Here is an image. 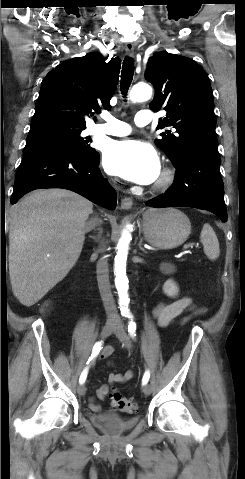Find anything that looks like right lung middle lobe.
<instances>
[{
  "label": "right lung middle lobe",
  "mask_w": 245,
  "mask_h": 479,
  "mask_svg": "<svg viewBox=\"0 0 245 479\" xmlns=\"http://www.w3.org/2000/svg\"><path fill=\"white\" fill-rule=\"evenodd\" d=\"M83 130L63 125L31 128L27 136L23 156L51 147H66L91 156L98 155L94 148L87 145L89 141L81 137L80 134Z\"/></svg>",
  "instance_id": "dd1d6c3e"
}]
</instances>
